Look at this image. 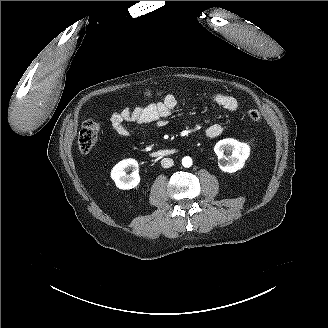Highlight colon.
<instances>
[{
  "label": "colon",
  "mask_w": 328,
  "mask_h": 328,
  "mask_svg": "<svg viewBox=\"0 0 328 328\" xmlns=\"http://www.w3.org/2000/svg\"><path fill=\"white\" fill-rule=\"evenodd\" d=\"M248 117L254 122L261 120V113L256 109L248 111ZM99 133V125L93 120L85 121L78 134L77 144L78 149L82 153H88L94 147Z\"/></svg>",
  "instance_id": "obj_1"
}]
</instances>
